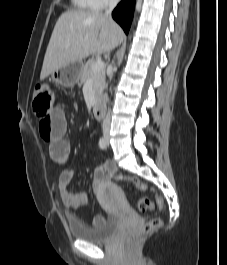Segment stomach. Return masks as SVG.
Here are the masks:
<instances>
[{"mask_svg":"<svg viewBox=\"0 0 227 265\" xmlns=\"http://www.w3.org/2000/svg\"><path fill=\"white\" fill-rule=\"evenodd\" d=\"M83 68L82 62H73L51 73L52 80L64 87H71L79 82Z\"/></svg>","mask_w":227,"mask_h":265,"instance_id":"obj_1","label":"stomach"}]
</instances>
